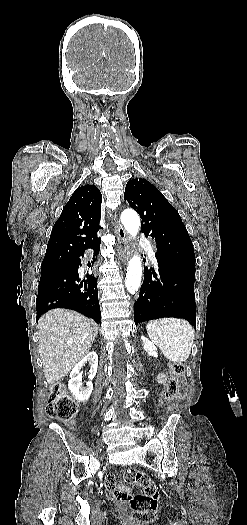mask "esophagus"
Here are the masks:
<instances>
[{"mask_svg":"<svg viewBox=\"0 0 247 525\" xmlns=\"http://www.w3.org/2000/svg\"><path fill=\"white\" fill-rule=\"evenodd\" d=\"M117 228V248L119 255L123 261H128L130 257V246L124 228L121 225H116ZM127 265V262H124Z\"/></svg>","mask_w":247,"mask_h":525,"instance_id":"34e87169","label":"esophagus"}]
</instances>
